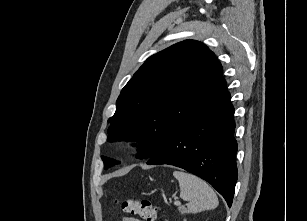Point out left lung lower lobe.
I'll return each mask as SVG.
<instances>
[{
	"label": "left lung lower lobe",
	"mask_w": 307,
	"mask_h": 221,
	"mask_svg": "<svg viewBox=\"0 0 307 221\" xmlns=\"http://www.w3.org/2000/svg\"><path fill=\"white\" fill-rule=\"evenodd\" d=\"M234 108L225 92L181 127L147 162L168 164L210 183L232 205L237 181Z\"/></svg>",
	"instance_id": "0a47b994"
}]
</instances>
